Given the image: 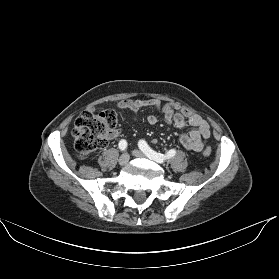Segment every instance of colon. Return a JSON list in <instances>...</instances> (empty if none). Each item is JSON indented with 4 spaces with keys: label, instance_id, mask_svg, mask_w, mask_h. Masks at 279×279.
I'll return each instance as SVG.
<instances>
[{
    "label": "colon",
    "instance_id": "1",
    "mask_svg": "<svg viewBox=\"0 0 279 279\" xmlns=\"http://www.w3.org/2000/svg\"><path fill=\"white\" fill-rule=\"evenodd\" d=\"M118 122L117 113L112 109L102 112L83 111L76 119L73 128L74 149L78 158L86 159L94 151L107 143L109 133ZM203 154H211V148L206 147Z\"/></svg>",
    "mask_w": 279,
    "mask_h": 279
}]
</instances>
